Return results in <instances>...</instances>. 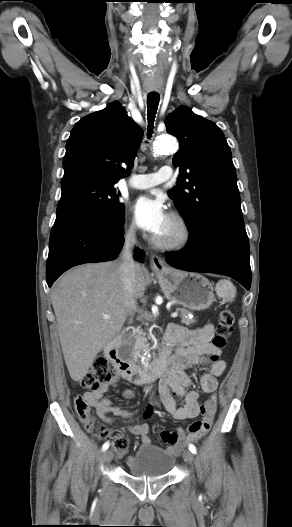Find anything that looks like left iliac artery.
Segmentation results:
<instances>
[{
  "instance_id": "44dca946",
  "label": "left iliac artery",
  "mask_w": 292,
  "mask_h": 527,
  "mask_svg": "<svg viewBox=\"0 0 292 527\" xmlns=\"http://www.w3.org/2000/svg\"><path fill=\"white\" fill-rule=\"evenodd\" d=\"M188 448L193 454H196V447H195V445L189 444Z\"/></svg>"
}]
</instances>
